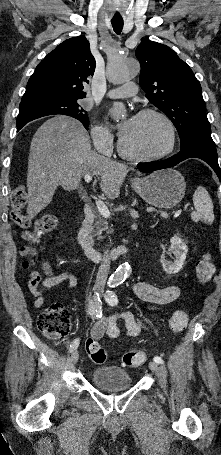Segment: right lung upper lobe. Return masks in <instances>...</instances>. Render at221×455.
Returning a JSON list of instances; mask_svg holds the SVG:
<instances>
[{"mask_svg": "<svg viewBox=\"0 0 221 455\" xmlns=\"http://www.w3.org/2000/svg\"><path fill=\"white\" fill-rule=\"evenodd\" d=\"M95 66L85 36L65 40L36 67L19 107L84 98L83 85L93 76Z\"/></svg>", "mask_w": 221, "mask_h": 455, "instance_id": "1", "label": "right lung upper lobe"}]
</instances>
